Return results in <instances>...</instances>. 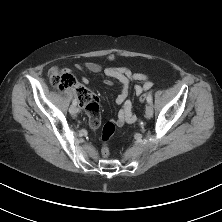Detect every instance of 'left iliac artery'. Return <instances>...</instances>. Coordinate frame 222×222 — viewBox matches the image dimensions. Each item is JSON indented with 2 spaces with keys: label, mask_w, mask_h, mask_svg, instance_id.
I'll use <instances>...</instances> for the list:
<instances>
[{
  "label": "left iliac artery",
  "mask_w": 222,
  "mask_h": 222,
  "mask_svg": "<svg viewBox=\"0 0 222 222\" xmlns=\"http://www.w3.org/2000/svg\"><path fill=\"white\" fill-rule=\"evenodd\" d=\"M147 102H148V103H152V94H149V95L147 96Z\"/></svg>",
  "instance_id": "left-iliac-artery-1"
}]
</instances>
